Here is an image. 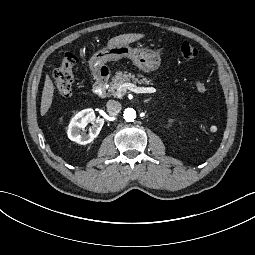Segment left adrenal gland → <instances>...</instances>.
Listing matches in <instances>:
<instances>
[{"instance_id":"a2214340","label":"left adrenal gland","mask_w":255,"mask_h":255,"mask_svg":"<svg viewBox=\"0 0 255 255\" xmlns=\"http://www.w3.org/2000/svg\"><path fill=\"white\" fill-rule=\"evenodd\" d=\"M150 101H151V98H150V99L145 100V101H144V103H148V102H150Z\"/></svg>"}]
</instances>
